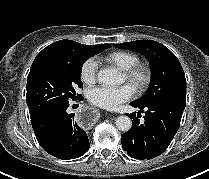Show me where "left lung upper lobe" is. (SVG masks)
I'll return each mask as SVG.
<instances>
[{
  "label": "left lung upper lobe",
  "mask_w": 209,
  "mask_h": 179,
  "mask_svg": "<svg viewBox=\"0 0 209 179\" xmlns=\"http://www.w3.org/2000/svg\"><path fill=\"white\" fill-rule=\"evenodd\" d=\"M114 46L139 52L150 62V87L144 96L133 102L146 105L167 98L186 97L184 71L177 57L167 47L152 40H137Z\"/></svg>",
  "instance_id": "left-lung-upper-lobe-1"
}]
</instances>
